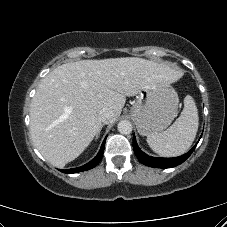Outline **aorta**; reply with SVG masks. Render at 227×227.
Masks as SVG:
<instances>
[{"mask_svg": "<svg viewBox=\"0 0 227 227\" xmlns=\"http://www.w3.org/2000/svg\"><path fill=\"white\" fill-rule=\"evenodd\" d=\"M118 131L121 134L127 135L132 132V124L129 120H121L117 125Z\"/></svg>", "mask_w": 227, "mask_h": 227, "instance_id": "obj_1", "label": "aorta"}]
</instances>
